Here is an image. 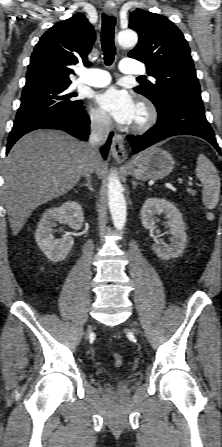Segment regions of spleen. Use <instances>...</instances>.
<instances>
[{"mask_svg": "<svg viewBox=\"0 0 222 447\" xmlns=\"http://www.w3.org/2000/svg\"><path fill=\"white\" fill-rule=\"evenodd\" d=\"M196 176L203 185L202 200L204 205L208 209L215 208L220 197V178L216 167L204 154L198 156Z\"/></svg>", "mask_w": 222, "mask_h": 447, "instance_id": "3e777b00", "label": "spleen"}]
</instances>
